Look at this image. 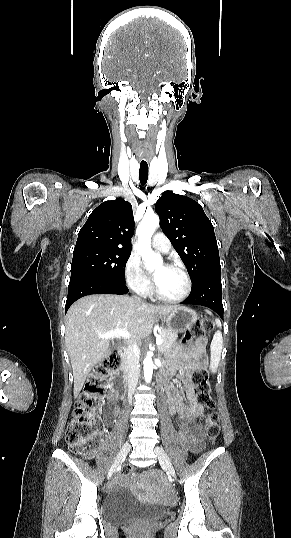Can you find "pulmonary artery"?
I'll return each mask as SVG.
<instances>
[{
	"label": "pulmonary artery",
	"mask_w": 291,
	"mask_h": 538,
	"mask_svg": "<svg viewBox=\"0 0 291 538\" xmlns=\"http://www.w3.org/2000/svg\"><path fill=\"white\" fill-rule=\"evenodd\" d=\"M151 244L153 248L162 253H168L171 248L169 239L163 233H156Z\"/></svg>",
	"instance_id": "1"
}]
</instances>
